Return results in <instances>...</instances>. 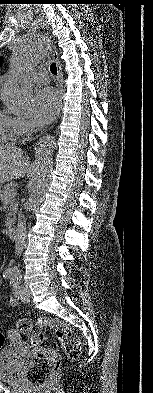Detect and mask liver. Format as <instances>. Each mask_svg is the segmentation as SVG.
<instances>
[{"label":"liver","mask_w":153,"mask_h":393,"mask_svg":"<svg viewBox=\"0 0 153 393\" xmlns=\"http://www.w3.org/2000/svg\"><path fill=\"white\" fill-rule=\"evenodd\" d=\"M29 172V158L13 144L0 145V188L5 182L24 177Z\"/></svg>","instance_id":"obj_1"}]
</instances>
